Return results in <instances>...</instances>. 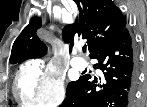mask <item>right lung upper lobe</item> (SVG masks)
<instances>
[{"label": "right lung upper lobe", "instance_id": "right-lung-upper-lobe-1", "mask_svg": "<svg viewBox=\"0 0 147 107\" xmlns=\"http://www.w3.org/2000/svg\"><path fill=\"white\" fill-rule=\"evenodd\" d=\"M79 8V18L63 29V40L70 43L82 36L88 39L89 57L113 42L126 28V18L112 0H75ZM41 27V19H31L15 40L9 62L22 63L30 58H40L46 54V46L36 35Z\"/></svg>", "mask_w": 147, "mask_h": 107}]
</instances>
